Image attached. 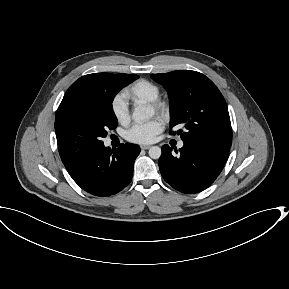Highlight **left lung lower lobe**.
I'll list each match as a JSON object with an SVG mask.
<instances>
[{"label": "left lung lower lobe", "instance_id": "1", "mask_svg": "<svg viewBox=\"0 0 289 289\" xmlns=\"http://www.w3.org/2000/svg\"><path fill=\"white\" fill-rule=\"evenodd\" d=\"M175 149L164 145L159 169L164 180L174 189L187 194L198 193L218 177L228 157L230 147L201 141H183ZM178 154V155H176Z\"/></svg>", "mask_w": 289, "mask_h": 289}]
</instances>
